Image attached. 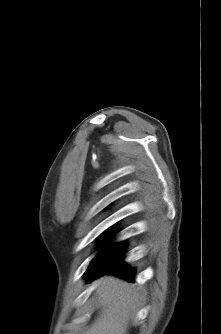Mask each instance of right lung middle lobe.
I'll return each instance as SVG.
<instances>
[{"instance_id": "obj_1", "label": "right lung middle lobe", "mask_w": 221, "mask_h": 334, "mask_svg": "<svg viewBox=\"0 0 221 334\" xmlns=\"http://www.w3.org/2000/svg\"><path fill=\"white\" fill-rule=\"evenodd\" d=\"M108 235V234H106ZM124 249L123 242L111 245L101 251L91 262L90 266L88 267L86 274H90L100 268L107 266L111 263L117 256H119Z\"/></svg>"}]
</instances>
